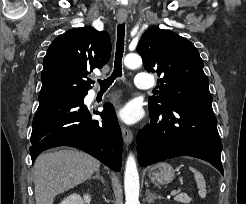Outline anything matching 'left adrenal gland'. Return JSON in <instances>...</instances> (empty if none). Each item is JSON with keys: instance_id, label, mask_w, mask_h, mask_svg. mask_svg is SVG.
Returning <instances> with one entry per match:
<instances>
[{"instance_id": "1", "label": "left adrenal gland", "mask_w": 246, "mask_h": 204, "mask_svg": "<svg viewBox=\"0 0 246 204\" xmlns=\"http://www.w3.org/2000/svg\"><path fill=\"white\" fill-rule=\"evenodd\" d=\"M147 201L148 203H151L156 197H160V196H156L155 194L150 193V191L147 190Z\"/></svg>"}]
</instances>
